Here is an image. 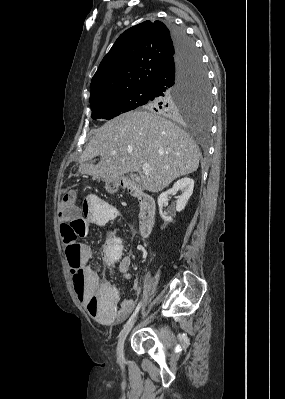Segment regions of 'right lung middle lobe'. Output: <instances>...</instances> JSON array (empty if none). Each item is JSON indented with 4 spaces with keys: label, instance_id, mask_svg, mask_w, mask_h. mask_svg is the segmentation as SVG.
I'll use <instances>...</instances> for the list:
<instances>
[{
    "label": "right lung middle lobe",
    "instance_id": "dd1d6c3e",
    "mask_svg": "<svg viewBox=\"0 0 285 399\" xmlns=\"http://www.w3.org/2000/svg\"><path fill=\"white\" fill-rule=\"evenodd\" d=\"M164 100L172 102V107L169 108L171 113L165 106ZM89 101L92 119L107 120L143 105L167 114L193 110L205 120L209 118L211 109L210 85L198 51L181 80L167 92L166 97H156L150 88H138Z\"/></svg>",
    "mask_w": 285,
    "mask_h": 399
}]
</instances>
